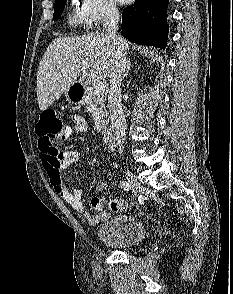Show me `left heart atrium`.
<instances>
[{"label": "left heart atrium", "instance_id": "left-heart-atrium-1", "mask_svg": "<svg viewBox=\"0 0 233 294\" xmlns=\"http://www.w3.org/2000/svg\"><path fill=\"white\" fill-rule=\"evenodd\" d=\"M118 3L124 4V3H128L130 0H115Z\"/></svg>", "mask_w": 233, "mask_h": 294}]
</instances>
